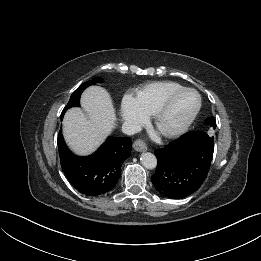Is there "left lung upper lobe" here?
Masks as SVG:
<instances>
[{"label":"left lung upper lobe","instance_id":"5c2ea615","mask_svg":"<svg viewBox=\"0 0 261 261\" xmlns=\"http://www.w3.org/2000/svg\"><path fill=\"white\" fill-rule=\"evenodd\" d=\"M205 123L207 125H210L211 127H213L214 129L216 128V122L213 118H208L206 119Z\"/></svg>","mask_w":261,"mask_h":261}]
</instances>
